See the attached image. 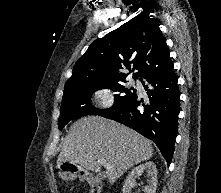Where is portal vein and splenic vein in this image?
I'll return each instance as SVG.
<instances>
[{
    "label": "portal vein and splenic vein",
    "instance_id": "obj_1",
    "mask_svg": "<svg viewBox=\"0 0 221 193\" xmlns=\"http://www.w3.org/2000/svg\"><path fill=\"white\" fill-rule=\"evenodd\" d=\"M99 164L103 165L106 169L110 170L112 167L106 163L105 160H99Z\"/></svg>",
    "mask_w": 221,
    "mask_h": 193
}]
</instances>
